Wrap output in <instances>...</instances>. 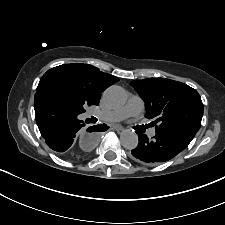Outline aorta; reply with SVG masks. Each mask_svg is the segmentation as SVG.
<instances>
[{"instance_id":"762f6f07","label":"aorta","mask_w":225,"mask_h":225,"mask_svg":"<svg viewBox=\"0 0 225 225\" xmlns=\"http://www.w3.org/2000/svg\"><path fill=\"white\" fill-rule=\"evenodd\" d=\"M104 99L108 106L118 108L125 105L127 95L120 86H111L104 92ZM120 142L126 149H134L138 145L137 134L130 129H125L120 134Z\"/></svg>"}]
</instances>
